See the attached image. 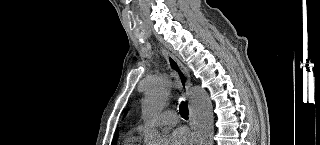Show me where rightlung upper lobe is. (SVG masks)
I'll use <instances>...</instances> for the list:
<instances>
[{
    "instance_id": "1",
    "label": "right lung upper lobe",
    "mask_w": 320,
    "mask_h": 145,
    "mask_svg": "<svg viewBox=\"0 0 320 145\" xmlns=\"http://www.w3.org/2000/svg\"><path fill=\"white\" fill-rule=\"evenodd\" d=\"M117 138H118V133L115 134L114 139H113V142H116ZM113 142H112V143H113Z\"/></svg>"
}]
</instances>
